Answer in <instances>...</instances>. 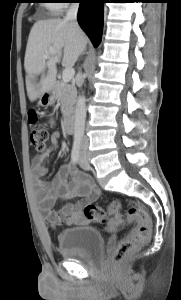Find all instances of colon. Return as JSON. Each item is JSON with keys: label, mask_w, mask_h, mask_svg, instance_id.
Wrapping results in <instances>:
<instances>
[{"label": "colon", "mask_w": 181, "mask_h": 300, "mask_svg": "<svg viewBox=\"0 0 181 300\" xmlns=\"http://www.w3.org/2000/svg\"><path fill=\"white\" fill-rule=\"evenodd\" d=\"M38 115L36 112L30 113L31 144L36 148H42L49 137L48 129L45 125L37 124ZM120 203L112 201L107 208L96 205L85 206L84 216L94 223H106L109 230H115L124 224H135L131 233L121 240L114 251L113 261L122 263L126 261L141 245L146 244L151 236V223L147 210L143 207H129L125 216L119 213Z\"/></svg>", "instance_id": "5ec220e1"}]
</instances>
